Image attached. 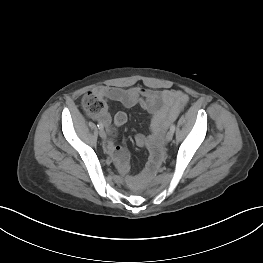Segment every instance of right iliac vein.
Instances as JSON below:
<instances>
[{"label": "right iliac vein", "instance_id": "right-iliac-vein-1", "mask_svg": "<svg viewBox=\"0 0 263 263\" xmlns=\"http://www.w3.org/2000/svg\"><path fill=\"white\" fill-rule=\"evenodd\" d=\"M99 135H100V137H101L102 139H105V138H106V132H105L103 129H101V130L99 131Z\"/></svg>", "mask_w": 263, "mask_h": 263}]
</instances>
